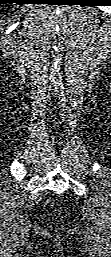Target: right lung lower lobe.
I'll return each instance as SVG.
<instances>
[{
  "instance_id": "right-lung-lower-lobe-1",
  "label": "right lung lower lobe",
  "mask_w": 111,
  "mask_h": 257,
  "mask_svg": "<svg viewBox=\"0 0 111 257\" xmlns=\"http://www.w3.org/2000/svg\"><path fill=\"white\" fill-rule=\"evenodd\" d=\"M0 3H20L19 1H17V0H0Z\"/></svg>"
}]
</instances>
